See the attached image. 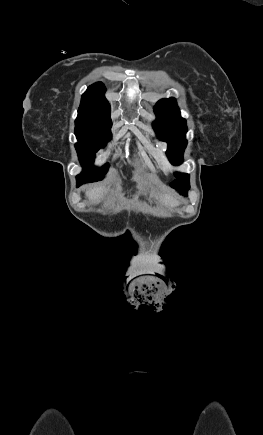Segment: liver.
<instances>
[{
	"instance_id": "obj_1",
	"label": "liver",
	"mask_w": 263,
	"mask_h": 435,
	"mask_svg": "<svg viewBox=\"0 0 263 435\" xmlns=\"http://www.w3.org/2000/svg\"><path fill=\"white\" fill-rule=\"evenodd\" d=\"M106 192L107 188L97 187L87 191L86 196L91 200V202H99ZM157 197L160 202L167 207H175L179 205V202L169 194L158 195Z\"/></svg>"
}]
</instances>
